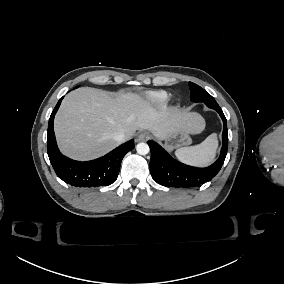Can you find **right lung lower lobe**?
<instances>
[{"label": "right lung lower lobe", "instance_id": "1", "mask_svg": "<svg viewBox=\"0 0 284 284\" xmlns=\"http://www.w3.org/2000/svg\"><path fill=\"white\" fill-rule=\"evenodd\" d=\"M63 98L58 101L50 116L47 132L48 156L57 176L75 187L92 188L112 184L117 179L123 157L133 149L134 140L92 161L80 162L65 157L57 147L53 129L54 116Z\"/></svg>", "mask_w": 284, "mask_h": 284}]
</instances>
